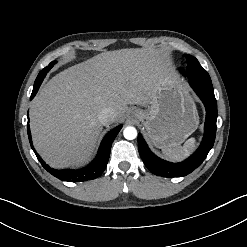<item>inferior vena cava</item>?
Returning <instances> with one entry per match:
<instances>
[{"label":"inferior vena cava","instance_id":"602c4592","mask_svg":"<svg viewBox=\"0 0 247 247\" xmlns=\"http://www.w3.org/2000/svg\"><path fill=\"white\" fill-rule=\"evenodd\" d=\"M116 117V113L111 108H104L100 111L98 115V120L102 125H109L110 123L114 122Z\"/></svg>","mask_w":247,"mask_h":247}]
</instances>
